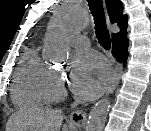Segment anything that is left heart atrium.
Segmentation results:
<instances>
[{
	"instance_id": "39dd6f15",
	"label": "left heart atrium",
	"mask_w": 151,
	"mask_h": 131,
	"mask_svg": "<svg viewBox=\"0 0 151 131\" xmlns=\"http://www.w3.org/2000/svg\"><path fill=\"white\" fill-rule=\"evenodd\" d=\"M110 80V69L97 54L85 52L74 57L68 84L72 92L80 98L96 97L108 86Z\"/></svg>"
}]
</instances>
